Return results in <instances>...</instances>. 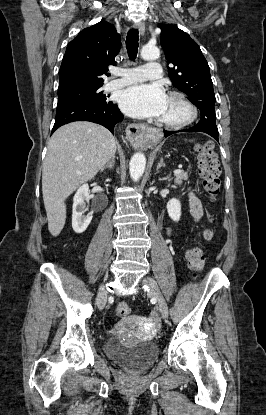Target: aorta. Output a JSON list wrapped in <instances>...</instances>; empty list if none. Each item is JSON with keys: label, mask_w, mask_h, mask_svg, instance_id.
Wrapping results in <instances>:
<instances>
[{"label": "aorta", "mask_w": 266, "mask_h": 415, "mask_svg": "<svg viewBox=\"0 0 266 415\" xmlns=\"http://www.w3.org/2000/svg\"><path fill=\"white\" fill-rule=\"evenodd\" d=\"M160 55V51L156 46L145 45L141 50V57L144 60H154ZM146 166V158L143 153H136L130 160L129 172L131 179L137 182L142 177Z\"/></svg>", "instance_id": "obj_1"}]
</instances>
